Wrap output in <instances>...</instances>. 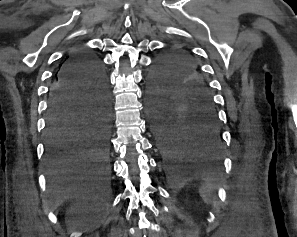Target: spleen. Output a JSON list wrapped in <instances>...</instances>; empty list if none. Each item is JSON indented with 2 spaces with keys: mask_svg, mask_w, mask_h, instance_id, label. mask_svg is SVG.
I'll use <instances>...</instances> for the list:
<instances>
[{
  "mask_svg": "<svg viewBox=\"0 0 297 237\" xmlns=\"http://www.w3.org/2000/svg\"><path fill=\"white\" fill-rule=\"evenodd\" d=\"M210 186H202L199 189V193L202 196L203 200L205 203L209 204V200H208V195L210 193Z\"/></svg>",
  "mask_w": 297,
  "mask_h": 237,
  "instance_id": "spleen-1",
  "label": "spleen"
}]
</instances>
